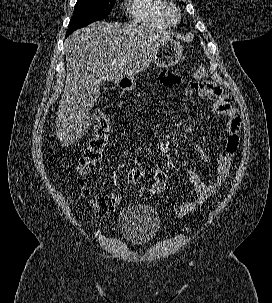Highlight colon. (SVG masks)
<instances>
[{
  "instance_id": "obj_1",
  "label": "colon",
  "mask_w": 272,
  "mask_h": 303,
  "mask_svg": "<svg viewBox=\"0 0 272 303\" xmlns=\"http://www.w3.org/2000/svg\"><path fill=\"white\" fill-rule=\"evenodd\" d=\"M207 76V71L200 66L194 73L197 81L203 80ZM94 137L89 146L85 149L78 163V172L81 175L79 184L80 196L89 201L93 213L98 217L111 215L119 206V198L113 194H99L91 196V190L86 175L93 169L96 162L100 160L108 144L110 134V124L104 114H98L94 118ZM168 183L167 173L158 168L154 173V180L150 186L142 187L139 194L142 198L148 199L161 194Z\"/></svg>"
}]
</instances>
